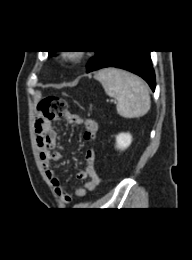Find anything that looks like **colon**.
<instances>
[{"mask_svg": "<svg viewBox=\"0 0 192 260\" xmlns=\"http://www.w3.org/2000/svg\"><path fill=\"white\" fill-rule=\"evenodd\" d=\"M38 120L51 121L56 118H65L69 114L66 101L57 96L44 98L38 105ZM85 139H92L90 132L85 133Z\"/></svg>", "mask_w": 192, "mask_h": 260, "instance_id": "colon-1", "label": "colon"}]
</instances>
